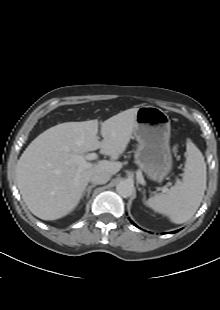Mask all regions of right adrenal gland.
<instances>
[{"mask_svg":"<svg viewBox=\"0 0 220 310\" xmlns=\"http://www.w3.org/2000/svg\"><path fill=\"white\" fill-rule=\"evenodd\" d=\"M94 187H96V184H92V185L88 186V187L83 191L82 197H81V198H83V197L86 195V193H87L86 198L89 199L91 190H92V188H94Z\"/></svg>","mask_w":220,"mask_h":310,"instance_id":"2a0ac1e0","label":"right adrenal gland"}]
</instances>
